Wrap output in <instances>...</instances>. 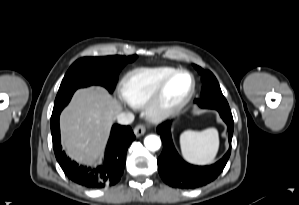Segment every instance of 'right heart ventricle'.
Here are the masks:
<instances>
[{
  "label": "right heart ventricle",
  "mask_w": 299,
  "mask_h": 205,
  "mask_svg": "<svg viewBox=\"0 0 299 205\" xmlns=\"http://www.w3.org/2000/svg\"><path fill=\"white\" fill-rule=\"evenodd\" d=\"M175 71V68L168 66L133 69L121 80L120 97L131 107H143L149 102L161 82Z\"/></svg>",
  "instance_id": "obj_1"
}]
</instances>
